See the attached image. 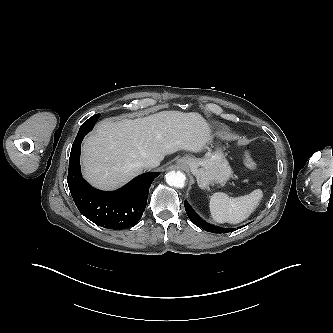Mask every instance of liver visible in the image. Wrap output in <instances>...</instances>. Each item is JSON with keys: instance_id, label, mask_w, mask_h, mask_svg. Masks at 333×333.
Instances as JSON below:
<instances>
[{"instance_id": "obj_1", "label": "liver", "mask_w": 333, "mask_h": 333, "mask_svg": "<svg viewBox=\"0 0 333 333\" xmlns=\"http://www.w3.org/2000/svg\"><path fill=\"white\" fill-rule=\"evenodd\" d=\"M211 138L198 113L162 111L134 120L106 119L83 143L84 177L97 188L113 190L140 174L143 160L160 162L179 150L201 152Z\"/></svg>"}]
</instances>
